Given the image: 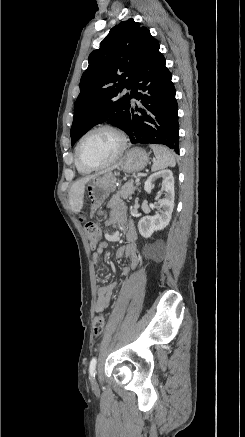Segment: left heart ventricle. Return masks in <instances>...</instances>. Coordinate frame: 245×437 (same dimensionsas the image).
I'll list each match as a JSON object with an SVG mask.
<instances>
[{"label": "left heart ventricle", "instance_id": "left-heart-ventricle-1", "mask_svg": "<svg viewBox=\"0 0 245 437\" xmlns=\"http://www.w3.org/2000/svg\"><path fill=\"white\" fill-rule=\"evenodd\" d=\"M119 147V138L113 132L100 130L84 139L80 147V154L87 163L103 164L117 154Z\"/></svg>", "mask_w": 245, "mask_h": 437}]
</instances>
